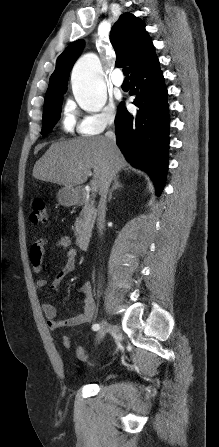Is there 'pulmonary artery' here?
Here are the masks:
<instances>
[{
	"label": "pulmonary artery",
	"mask_w": 219,
	"mask_h": 447,
	"mask_svg": "<svg viewBox=\"0 0 219 447\" xmlns=\"http://www.w3.org/2000/svg\"><path fill=\"white\" fill-rule=\"evenodd\" d=\"M111 82L116 87H121L124 79L120 69H115L111 74Z\"/></svg>",
	"instance_id": "1"
}]
</instances>
